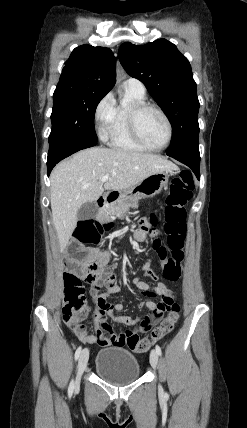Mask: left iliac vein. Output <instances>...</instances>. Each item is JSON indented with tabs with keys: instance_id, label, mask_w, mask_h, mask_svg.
I'll use <instances>...</instances> for the list:
<instances>
[{
	"instance_id": "obj_1",
	"label": "left iliac vein",
	"mask_w": 247,
	"mask_h": 428,
	"mask_svg": "<svg viewBox=\"0 0 247 428\" xmlns=\"http://www.w3.org/2000/svg\"><path fill=\"white\" fill-rule=\"evenodd\" d=\"M150 363H151V366L154 369L157 368V365H158V354H157L156 350H154V349L151 350V353H150Z\"/></svg>"
}]
</instances>
